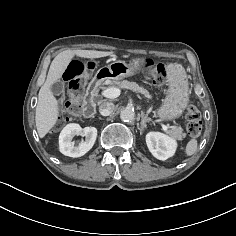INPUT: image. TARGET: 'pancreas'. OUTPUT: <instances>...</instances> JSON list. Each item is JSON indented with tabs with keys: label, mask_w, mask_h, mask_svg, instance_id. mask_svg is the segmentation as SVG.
Masks as SVG:
<instances>
[{
	"label": "pancreas",
	"mask_w": 236,
	"mask_h": 236,
	"mask_svg": "<svg viewBox=\"0 0 236 236\" xmlns=\"http://www.w3.org/2000/svg\"><path fill=\"white\" fill-rule=\"evenodd\" d=\"M113 88L129 89L133 92L143 94L145 97L150 98L149 92L143 87L139 86L135 82H130L127 80L119 81V82L114 83ZM168 133L172 135L174 138L179 139V140H181L182 138L186 136L181 126H174L172 129L168 131Z\"/></svg>",
	"instance_id": "obj_1"
}]
</instances>
